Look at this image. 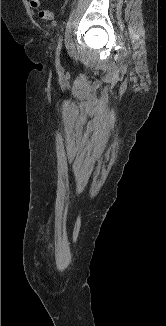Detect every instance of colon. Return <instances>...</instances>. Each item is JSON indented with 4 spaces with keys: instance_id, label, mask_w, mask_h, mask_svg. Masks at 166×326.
<instances>
[{
    "instance_id": "obj_1",
    "label": "colon",
    "mask_w": 166,
    "mask_h": 326,
    "mask_svg": "<svg viewBox=\"0 0 166 326\" xmlns=\"http://www.w3.org/2000/svg\"><path fill=\"white\" fill-rule=\"evenodd\" d=\"M39 17L43 20L52 21L54 19V13L49 9H41L39 11Z\"/></svg>"
}]
</instances>
